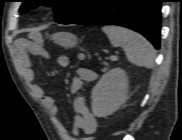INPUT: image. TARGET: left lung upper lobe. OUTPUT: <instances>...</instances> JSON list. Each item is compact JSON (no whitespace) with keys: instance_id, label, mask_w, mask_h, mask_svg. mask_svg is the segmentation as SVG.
<instances>
[{"instance_id":"5c2ea615","label":"left lung upper lobe","mask_w":182,"mask_h":140,"mask_svg":"<svg viewBox=\"0 0 182 140\" xmlns=\"http://www.w3.org/2000/svg\"><path fill=\"white\" fill-rule=\"evenodd\" d=\"M102 0H22L19 12L24 13L39 5L54 6L55 21L71 24L89 13Z\"/></svg>"}]
</instances>
